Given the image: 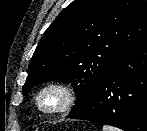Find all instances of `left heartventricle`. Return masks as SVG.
Instances as JSON below:
<instances>
[{"instance_id":"1","label":"left heart ventricle","mask_w":147,"mask_h":131,"mask_svg":"<svg viewBox=\"0 0 147 131\" xmlns=\"http://www.w3.org/2000/svg\"><path fill=\"white\" fill-rule=\"evenodd\" d=\"M41 104L45 108H53L59 104V96L56 93H47L42 97Z\"/></svg>"}]
</instances>
